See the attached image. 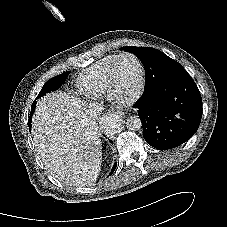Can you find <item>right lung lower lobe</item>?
Wrapping results in <instances>:
<instances>
[{
  "label": "right lung lower lobe",
  "instance_id": "98d812e1",
  "mask_svg": "<svg viewBox=\"0 0 227 227\" xmlns=\"http://www.w3.org/2000/svg\"><path fill=\"white\" fill-rule=\"evenodd\" d=\"M29 120H31V118H30ZM116 167H117V163H115V164L113 165V168H112V170H111V172H110V175L114 172V170L116 169Z\"/></svg>",
  "mask_w": 227,
  "mask_h": 227
}]
</instances>
